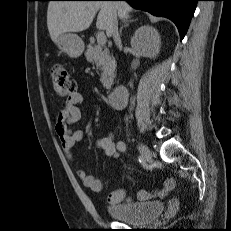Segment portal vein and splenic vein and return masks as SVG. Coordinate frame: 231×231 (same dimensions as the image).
Returning a JSON list of instances; mask_svg holds the SVG:
<instances>
[{
  "label": "portal vein and splenic vein",
  "mask_w": 231,
  "mask_h": 231,
  "mask_svg": "<svg viewBox=\"0 0 231 231\" xmlns=\"http://www.w3.org/2000/svg\"><path fill=\"white\" fill-rule=\"evenodd\" d=\"M96 38L98 45L103 46L106 44L107 39L103 31H98Z\"/></svg>",
  "instance_id": "portal-vein-and-splenic-vein-1"
}]
</instances>
